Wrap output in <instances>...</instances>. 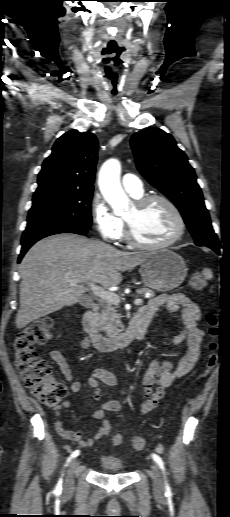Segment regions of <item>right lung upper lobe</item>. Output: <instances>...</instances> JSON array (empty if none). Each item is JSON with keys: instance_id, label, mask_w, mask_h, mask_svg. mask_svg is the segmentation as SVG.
<instances>
[{"instance_id": "obj_1", "label": "right lung upper lobe", "mask_w": 230, "mask_h": 517, "mask_svg": "<svg viewBox=\"0 0 230 517\" xmlns=\"http://www.w3.org/2000/svg\"><path fill=\"white\" fill-rule=\"evenodd\" d=\"M98 141L90 132L71 130L54 144L38 175L33 198L56 193L93 191Z\"/></svg>"}]
</instances>
